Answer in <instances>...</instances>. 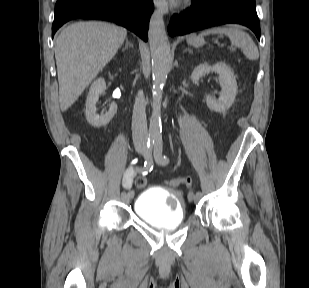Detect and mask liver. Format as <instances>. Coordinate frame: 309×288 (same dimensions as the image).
<instances>
[{"label":"liver","mask_w":309,"mask_h":288,"mask_svg":"<svg viewBox=\"0 0 309 288\" xmlns=\"http://www.w3.org/2000/svg\"><path fill=\"white\" fill-rule=\"evenodd\" d=\"M126 29L88 21L65 27L55 42L59 102L66 111L122 46Z\"/></svg>","instance_id":"liver-1"}]
</instances>
